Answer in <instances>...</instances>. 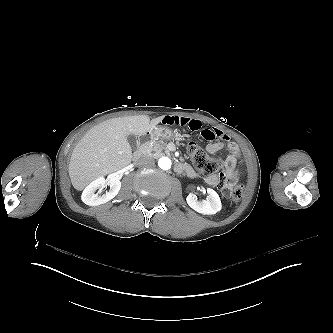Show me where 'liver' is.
I'll return each mask as SVG.
<instances>
[{"instance_id":"obj_1","label":"liver","mask_w":333,"mask_h":333,"mask_svg":"<svg viewBox=\"0 0 333 333\" xmlns=\"http://www.w3.org/2000/svg\"><path fill=\"white\" fill-rule=\"evenodd\" d=\"M166 115L150 120L148 115L117 117L89 129L74 147L68 173L73 187L83 191L99 177L121 170L132 162L128 136L142 137L163 121Z\"/></svg>"}]
</instances>
